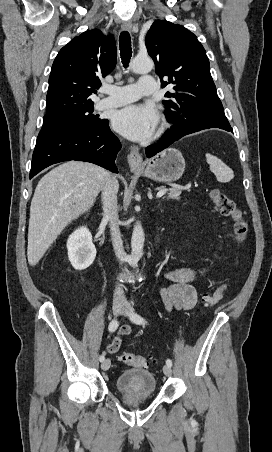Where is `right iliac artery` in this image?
Returning <instances> with one entry per match:
<instances>
[{"label":"right iliac artery","instance_id":"right-iliac-artery-1","mask_svg":"<svg viewBox=\"0 0 272 452\" xmlns=\"http://www.w3.org/2000/svg\"><path fill=\"white\" fill-rule=\"evenodd\" d=\"M118 325H119V324H118L117 319H113V320L110 322V324H109V327H108L109 331H110V332H114V331L118 328ZM104 359H105L104 355H100V356H99L100 362H103Z\"/></svg>","mask_w":272,"mask_h":452}]
</instances>
